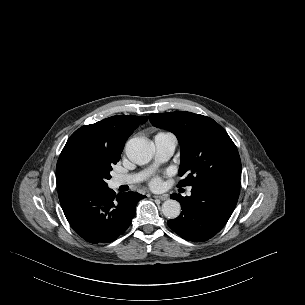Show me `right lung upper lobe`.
Returning a JSON list of instances; mask_svg holds the SVG:
<instances>
[{"label":"right lung upper lobe","instance_id":"cb5924a9","mask_svg":"<svg viewBox=\"0 0 305 305\" xmlns=\"http://www.w3.org/2000/svg\"><path fill=\"white\" fill-rule=\"evenodd\" d=\"M147 121V117L138 116H113L97 123L85 125L75 131L67 143L75 140L92 142L113 156L120 157L124 144L133 131ZM58 186V190L63 187Z\"/></svg>","mask_w":305,"mask_h":305}]
</instances>
